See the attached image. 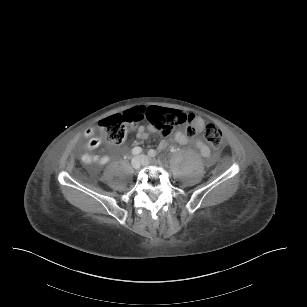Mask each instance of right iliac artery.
<instances>
[{"instance_id":"1","label":"right iliac artery","mask_w":307,"mask_h":307,"mask_svg":"<svg viewBox=\"0 0 307 307\" xmlns=\"http://www.w3.org/2000/svg\"><path fill=\"white\" fill-rule=\"evenodd\" d=\"M142 152V149L140 147H134L133 150H132V153L134 155H138Z\"/></svg>"}]
</instances>
